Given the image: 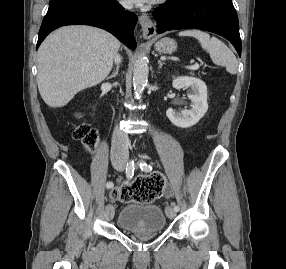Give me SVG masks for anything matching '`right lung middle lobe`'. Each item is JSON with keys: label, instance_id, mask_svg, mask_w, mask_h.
<instances>
[{"label": "right lung middle lobe", "instance_id": "1", "mask_svg": "<svg viewBox=\"0 0 286 269\" xmlns=\"http://www.w3.org/2000/svg\"><path fill=\"white\" fill-rule=\"evenodd\" d=\"M71 1H74V0H50L49 8H53V7H56V6H59V5H62V4L71 2ZM91 1H94L107 8L112 7L116 2V0H91Z\"/></svg>", "mask_w": 286, "mask_h": 269}]
</instances>
